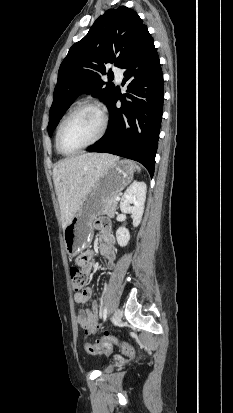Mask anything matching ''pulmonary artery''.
Wrapping results in <instances>:
<instances>
[{
  "label": "pulmonary artery",
  "instance_id": "1",
  "mask_svg": "<svg viewBox=\"0 0 233 413\" xmlns=\"http://www.w3.org/2000/svg\"><path fill=\"white\" fill-rule=\"evenodd\" d=\"M114 74H115L116 81L120 83L123 78V71L119 68H114Z\"/></svg>",
  "mask_w": 233,
  "mask_h": 413
}]
</instances>
